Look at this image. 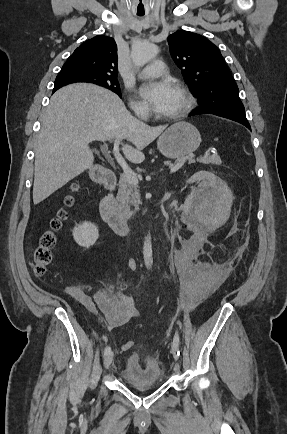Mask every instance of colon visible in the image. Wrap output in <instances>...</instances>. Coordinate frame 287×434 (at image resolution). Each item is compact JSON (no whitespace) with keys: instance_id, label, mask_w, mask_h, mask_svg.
Here are the masks:
<instances>
[{"instance_id":"obj_1","label":"colon","mask_w":287,"mask_h":434,"mask_svg":"<svg viewBox=\"0 0 287 434\" xmlns=\"http://www.w3.org/2000/svg\"><path fill=\"white\" fill-rule=\"evenodd\" d=\"M78 186L76 184L72 185V190H77ZM66 206H71L73 204V198L68 196L65 199ZM67 213L65 210H59L56 216L50 221V229L43 232L36 245L32 250V260H33V271L36 276H43L46 272V267L50 263L52 258L51 249L55 244V234L54 232L60 229L62 222L66 219ZM133 347V342L128 341L123 344V350H129Z\"/></svg>"}]
</instances>
